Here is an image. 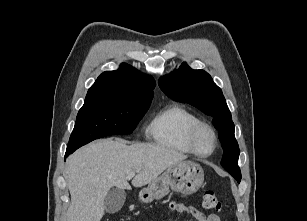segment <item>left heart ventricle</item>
<instances>
[{
    "label": "left heart ventricle",
    "instance_id": "b2bd125f",
    "mask_svg": "<svg viewBox=\"0 0 307 221\" xmlns=\"http://www.w3.org/2000/svg\"><path fill=\"white\" fill-rule=\"evenodd\" d=\"M213 140L207 131H201L197 137V146L203 153H207L212 149Z\"/></svg>",
    "mask_w": 307,
    "mask_h": 221
}]
</instances>
